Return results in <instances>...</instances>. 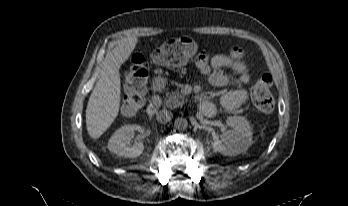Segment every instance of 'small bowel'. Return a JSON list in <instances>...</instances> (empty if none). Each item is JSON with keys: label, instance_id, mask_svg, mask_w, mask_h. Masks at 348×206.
<instances>
[{"label": "small bowel", "instance_id": "1", "mask_svg": "<svg viewBox=\"0 0 348 206\" xmlns=\"http://www.w3.org/2000/svg\"><path fill=\"white\" fill-rule=\"evenodd\" d=\"M198 70L206 75L210 83L217 87L234 86L221 96V104L227 109L242 105L247 99L245 85L250 80V73L244 61L243 51L235 46L227 54H217L212 58L208 53L201 52L196 59ZM230 70L237 74L233 79L226 73Z\"/></svg>", "mask_w": 348, "mask_h": 206}]
</instances>
